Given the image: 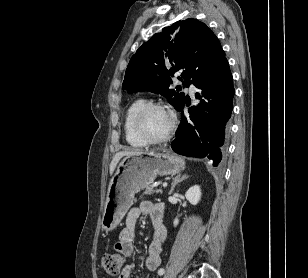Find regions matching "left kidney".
Returning <instances> with one entry per match:
<instances>
[{"instance_id":"1","label":"left kidney","mask_w":308,"mask_h":278,"mask_svg":"<svg viewBox=\"0 0 308 278\" xmlns=\"http://www.w3.org/2000/svg\"><path fill=\"white\" fill-rule=\"evenodd\" d=\"M186 199L192 204L197 205L201 199V189L198 185L191 187L185 194ZM179 220L174 219V226H177Z\"/></svg>"}]
</instances>
